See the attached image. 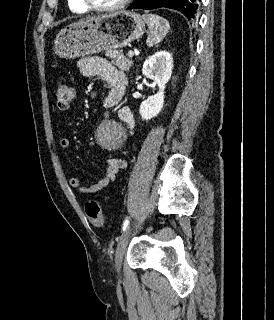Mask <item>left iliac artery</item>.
<instances>
[{
  "label": "left iliac artery",
  "mask_w": 274,
  "mask_h": 320,
  "mask_svg": "<svg viewBox=\"0 0 274 320\" xmlns=\"http://www.w3.org/2000/svg\"><path fill=\"white\" fill-rule=\"evenodd\" d=\"M128 224H129V220H128V218H126L125 221H124V223H123V227H122V230H123V231L126 230Z\"/></svg>",
  "instance_id": "left-iliac-artery-1"
}]
</instances>
